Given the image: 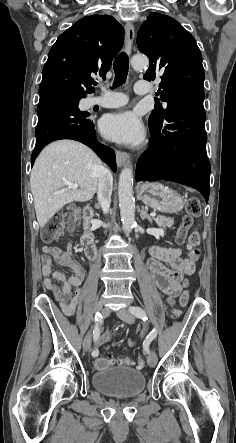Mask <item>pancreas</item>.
Masks as SVG:
<instances>
[{"instance_id":"1","label":"pancreas","mask_w":236,"mask_h":443,"mask_svg":"<svg viewBox=\"0 0 236 443\" xmlns=\"http://www.w3.org/2000/svg\"><path fill=\"white\" fill-rule=\"evenodd\" d=\"M153 220L161 228H167V227L170 228L174 224V219L173 218H166L165 216H157V217H154Z\"/></svg>"}]
</instances>
